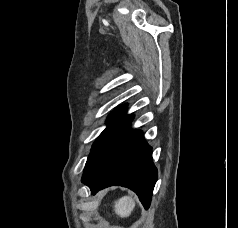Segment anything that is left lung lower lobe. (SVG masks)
<instances>
[{"instance_id": "obj_1", "label": "left lung lower lobe", "mask_w": 238, "mask_h": 228, "mask_svg": "<svg viewBox=\"0 0 238 228\" xmlns=\"http://www.w3.org/2000/svg\"><path fill=\"white\" fill-rule=\"evenodd\" d=\"M133 117L120 129L96 170L82 182L92 194L112 185L128 187L147 209L157 180L152 150L139 130H131Z\"/></svg>"}]
</instances>
